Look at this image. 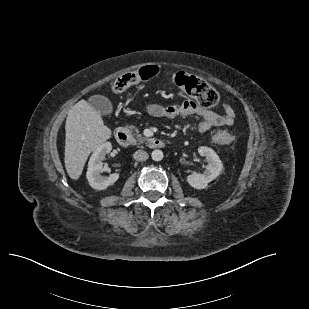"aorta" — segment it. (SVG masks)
Masks as SVG:
<instances>
[{
    "mask_svg": "<svg viewBox=\"0 0 309 309\" xmlns=\"http://www.w3.org/2000/svg\"><path fill=\"white\" fill-rule=\"evenodd\" d=\"M151 157L154 161H161L164 157V154L161 150L155 149L152 151Z\"/></svg>",
    "mask_w": 309,
    "mask_h": 309,
    "instance_id": "aorta-1",
    "label": "aorta"
}]
</instances>
